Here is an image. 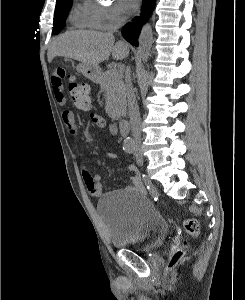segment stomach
I'll list each match as a JSON object with an SVG mask.
<instances>
[{
  "label": "stomach",
  "mask_w": 245,
  "mask_h": 300,
  "mask_svg": "<svg viewBox=\"0 0 245 300\" xmlns=\"http://www.w3.org/2000/svg\"><path fill=\"white\" fill-rule=\"evenodd\" d=\"M76 70L92 81L100 79V68L98 65H88L81 62L76 65Z\"/></svg>",
  "instance_id": "obj_1"
}]
</instances>
